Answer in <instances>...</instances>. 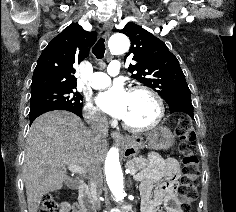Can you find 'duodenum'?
<instances>
[{
    "label": "duodenum",
    "instance_id": "1",
    "mask_svg": "<svg viewBox=\"0 0 236 212\" xmlns=\"http://www.w3.org/2000/svg\"><path fill=\"white\" fill-rule=\"evenodd\" d=\"M78 191V200L81 212H96V208L92 201L88 185L84 182H81Z\"/></svg>",
    "mask_w": 236,
    "mask_h": 212
}]
</instances>
